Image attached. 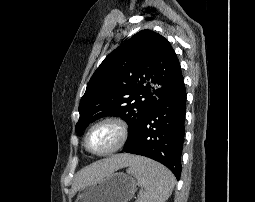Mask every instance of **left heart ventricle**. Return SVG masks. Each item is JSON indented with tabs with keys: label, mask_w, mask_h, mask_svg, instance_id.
<instances>
[{
	"label": "left heart ventricle",
	"mask_w": 255,
	"mask_h": 202,
	"mask_svg": "<svg viewBox=\"0 0 255 202\" xmlns=\"http://www.w3.org/2000/svg\"><path fill=\"white\" fill-rule=\"evenodd\" d=\"M118 140V132L111 125L96 128L88 139V146L94 152H104L112 148Z\"/></svg>",
	"instance_id": "b2bd125f"
}]
</instances>
